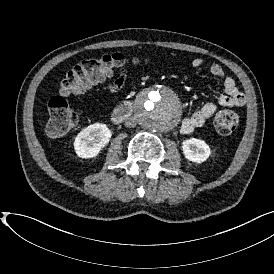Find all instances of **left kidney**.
I'll return each mask as SVG.
<instances>
[{"label": "left kidney", "instance_id": "1", "mask_svg": "<svg viewBox=\"0 0 274 274\" xmlns=\"http://www.w3.org/2000/svg\"><path fill=\"white\" fill-rule=\"evenodd\" d=\"M185 159L193 163H203L211 155L209 145L199 138H189L182 142L181 145Z\"/></svg>", "mask_w": 274, "mask_h": 274}]
</instances>
